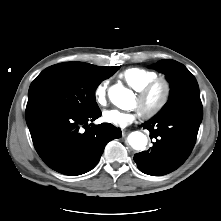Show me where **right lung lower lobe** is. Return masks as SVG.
Here are the masks:
<instances>
[{
  "label": "right lung lower lobe",
  "instance_id": "right-lung-lower-lobe-1",
  "mask_svg": "<svg viewBox=\"0 0 221 221\" xmlns=\"http://www.w3.org/2000/svg\"><path fill=\"white\" fill-rule=\"evenodd\" d=\"M100 116V109L81 113L55 106L26 108V122L39 156L51 169L71 176L93 169L106 144L121 137L110 123L88 125Z\"/></svg>",
  "mask_w": 221,
  "mask_h": 221
}]
</instances>
